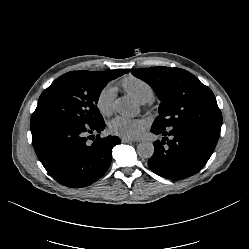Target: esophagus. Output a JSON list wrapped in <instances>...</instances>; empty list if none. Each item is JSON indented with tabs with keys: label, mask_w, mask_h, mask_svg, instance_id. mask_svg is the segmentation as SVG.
<instances>
[{
	"label": "esophagus",
	"mask_w": 249,
	"mask_h": 249,
	"mask_svg": "<svg viewBox=\"0 0 249 249\" xmlns=\"http://www.w3.org/2000/svg\"><path fill=\"white\" fill-rule=\"evenodd\" d=\"M121 141H122V143H132V142H133L132 139L127 138V137H123V138L121 139Z\"/></svg>",
	"instance_id": "obj_1"
}]
</instances>
